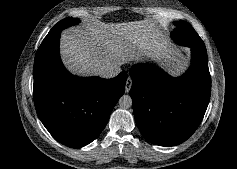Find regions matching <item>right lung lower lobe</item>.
<instances>
[{"label": "right lung lower lobe", "mask_w": 237, "mask_h": 169, "mask_svg": "<svg viewBox=\"0 0 237 169\" xmlns=\"http://www.w3.org/2000/svg\"><path fill=\"white\" fill-rule=\"evenodd\" d=\"M60 33L47 35L34 61V102L37 114L60 143L83 147L101 133L125 90L127 74L112 79L77 77L63 66Z\"/></svg>", "instance_id": "1"}]
</instances>
